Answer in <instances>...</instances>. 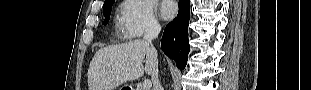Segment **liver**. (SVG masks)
Returning <instances> with one entry per match:
<instances>
[{"instance_id": "liver-1", "label": "liver", "mask_w": 311, "mask_h": 90, "mask_svg": "<svg viewBox=\"0 0 311 90\" xmlns=\"http://www.w3.org/2000/svg\"><path fill=\"white\" fill-rule=\"evenodd\" d=\"M157 56L156 49L142 39L101 48L89 65V90H114L142 77L144 72L151 75Z\"/></svg>"}]
</instances>
